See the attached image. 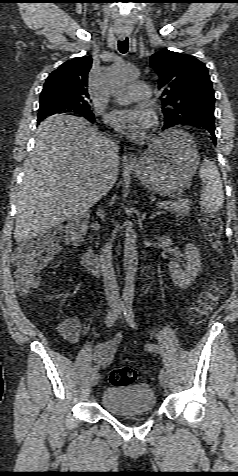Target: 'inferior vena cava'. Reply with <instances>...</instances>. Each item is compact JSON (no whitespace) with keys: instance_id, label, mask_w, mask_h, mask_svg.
Masks as SVG:
<instances>
[{"instance_id":"602c4592","label":"inferior vena cava","mask_w":238,"mask_h":476,"mask_svg":"<svg viewBox=\"0 0 238 476\" xmlns=\"http://www.w3.org/2000/svg\"><path fill=\"white\" fill-rule=\"evenodd\" d=\"M102 148L106 160L110 164L118 162L119 156V147L118 143L109 138H104L102 140ZM100 264L103 273V283L106 300L108 305L111 307L119 306V294H118V285L114 275L112 267V256L109 243H106L103 248H101L100 254Z\"/></svg>"}]
</instances>
